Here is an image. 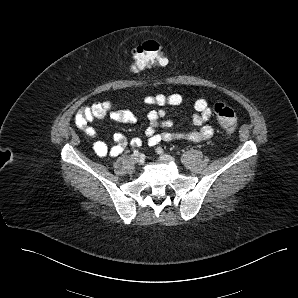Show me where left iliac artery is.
<instances>
[{
  "label": "left iliac artery",
  "instance_id": "1",
  "mask_svg": "<svg viewBox=\"0 0 298 298\" xmlns=\"http://www.w3.org/2000/svg\"><path fill=\"white\" fill-rule=\"evenodd\" d=\"M156 151H157L158 154H163L164 153V151L161 147H157Z\"/></svg>",
  "mask_w": 298,
  "mask_h": 298
}]
</instances>
